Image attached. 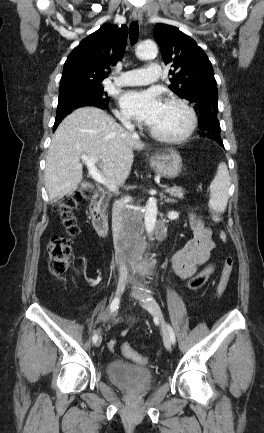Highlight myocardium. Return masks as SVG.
<instances>
[{"mask_svg":"<svg viewBox=\"0 0 264 433\" xmlns=\"http://www.w3.org/2000/svg\"><path fill=\"white\" fill-rule=\"evenodd\" d=\"M165 103L177 105V106L181 107L187 113L189 120H188V125H187L186 129L177 135L161 134V133L155 131L154 129H152L150 126L148 127L147 130L153 138H155L161 142L181 143V142L185 141L186 139H188L196 129V126H197L196 112L193 109V107H191L185 100L178 98V97H175V96L167 97L165 99Z\"/></svg>","mask_w":264,"mask_h":433,"instance_id":"myocardium-1","label":"myocardium"}]
</instances>
